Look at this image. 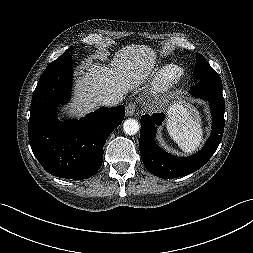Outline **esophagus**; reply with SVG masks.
<instances>
[{
	"label": "esophagus",
	"mask_w": 253,
	"mask_h": 253,
	"mask_svg": "<svg viewBox=\"0 0 253 253\" xmlns=\"http://www.w3.org/2000/svg\"><path fill=\"white\" fill-rule=\"evenodd\" d=\"M135 109H136V105L135 103H129L127 106H126V116H133L134 113H135Z\"/></svg>",
	"instance_id": "obj_1"
}]
</instances>
